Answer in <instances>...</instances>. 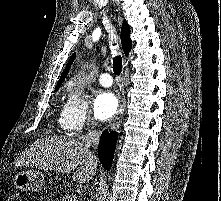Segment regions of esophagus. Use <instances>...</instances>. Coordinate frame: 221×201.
I'll return each mask as SVG.
<instances>
[{"label":"esophagus","mask_w":221,"mask_h":201,"mask_svg":"<svg viewBox=\"0 0 221 201\" xmlns=\"http://www.w3.org/2000/svg\"><path fill=\"white\" fill-rule=\"evenodd\" d=\"M125 99H124V93L122 92L121 96H120V107L117 111V114L115 116V118L113 119L112 123H111V128L112 129H117L120 125L121 122V118L124 114L125 111Z\"/></svg>","instance_id":"34e87169"}]
</instances>
